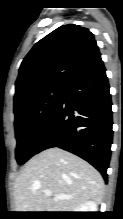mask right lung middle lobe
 <instances>
[{"mask_svg":"<svg viewBox=\"0 0 123 219\" xmlns=\"http://www.w3.org/2000/svg\"><path fill=\"white\" fill-rule=\"evenodd\" d=\"M65 85L37 90L14 102L16 160L24 164L36 154L39 140L62 101Z\"/></svg>","mask_w":123,"mask_h":219,"instance_id":"1","label":"right lung middle lobe"}]
</instances>
